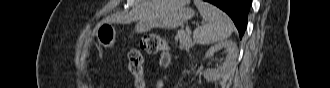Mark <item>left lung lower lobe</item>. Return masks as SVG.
<instances>
[{
  "mask_svg": "<svg viewBox=\"0 0 330 88\" xmlns=\"http://www.w3.org/2000/svg\"><path fill=\"white\" fill-rule=\"evenodd\" d=\"M226 12L237 27L242 38L246 26L251 0H205Z\"/></svg>",
  "mask_w": 330,
  "mask_h": 88,
  "instance_id": "1",
  "label": "left lung lower lobe"
}]
</instances>
